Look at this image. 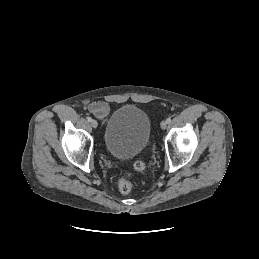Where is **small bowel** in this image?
Returning <instances> with one entry per match:
<instances>
[{"instance_id":"small-bowel-1","label":"small bowel","mask_w":259,"mask_h":259,"mask_svg":"<svg viewBox=\"0 0 259 259\" xmlns=\"http://www.w3.org/2000/svg\"><path fill=\"white\" fill-rule=\"evenodd\" d=\"M88 109L99 119H105L110 112L109 104L104 101L92 102L88 105Z\"/></svg>"}]
</instances>
